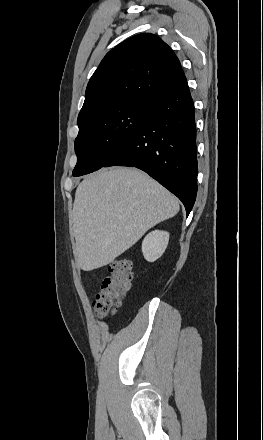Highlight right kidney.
Masks as SVG:
<instances>
[{
    "mask_svg": "<svg viewBox=\"0 0 263 440\" xmlns=\"http://www.w3.org/2000/svg\"><path fill=\"white\" fill-rule=\"evenodd\" d=\"M169 241V233L155 230L149 233L142 242L144 258L149 262L156 261L164 253Z\"/></svg>",
    "mask_w": 263,
    "mask_h": 440,
    "instance_id": "obj_1",
    "label": "right kidney"
}]
</instances>
